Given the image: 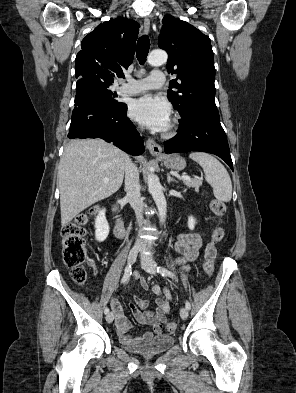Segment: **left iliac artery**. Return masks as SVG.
Wrapping results in <instances>:
<instances>
[{
	"instance_id": "obj_1",
	"label": "left iliac artery",
	"mask_w": 296,
	"mask_h": 393,
	"mask_svg": "<svg viewBox=\"0 0 296 393\" xmlns=\"http://www.w3.org/2000/svg\"><path fill=\"white\" fill-rule=\"evenodd\" d=\"M157 272L160 273L163 277L175 278V274L172 271H169L168 269H166L162 266L157 267ZM185 307L187 310L191 309V305L188 301H186Z\"/></svg>"
}]
</instances>
